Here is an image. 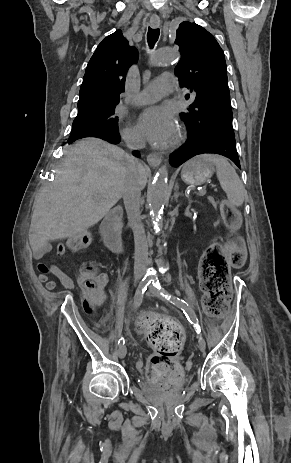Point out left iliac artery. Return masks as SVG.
Listing matches in <instances>:
<instances>
[{"label":"left iliac artery","instance_id":"44dca946","mask_svg":"<svg viewBox=\"0 0 291 463\" xmlns=\"http://www.w3.org/2000/svg\"><path fill=\"white\" fill-rule=\"evenodd\" d=\"M152 284H153V286L155 288H157L160 291V294L163 297H165V299L169 300L172 304L178 306L179 308H181V310H183V312H184L185 316L187 317L188 321L191 324H193L194 328L196 329V332L198 334H200L201 333V328H200V325L198 323V319H197L195 313L189 307L188 303L185 300H183V299H181L179 297H176L174 295H171L166 290H164V288L161 287L157 277H152Z\"/></svg>","mask_w":291,"mask_h":463}]
</instances>
